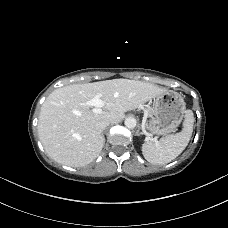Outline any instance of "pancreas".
Wrapping results in <instances>:
<instances>
[{
	"label": "pancreas",
	"instance_id": "cf45deb5",
	"mask_svg": "<svg viewBox=\"0 0 228 228\" xmlns=\"http://www.w3.org/2000/svg\"><path fill=\"white\" fill-rule=\"evenodd\" d=\"M146 114H147L148 116H152L153 110H152L151 108L147 109V110H146Z\"/></svg>",
	"mask_w": 228,
	"mask_h": 228
}]
</instances>
